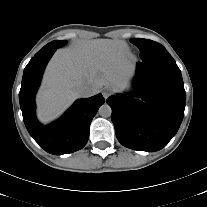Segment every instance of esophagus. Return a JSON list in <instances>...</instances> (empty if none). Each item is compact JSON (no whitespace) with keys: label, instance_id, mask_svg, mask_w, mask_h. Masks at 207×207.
<instances>
[{"label":"esophagus","instance_id":"34e87169","mask_svg":"<svg viewBox=\"0 0 207 207\" xmlns=\"http://www.w3.org/2000/svg\"><path fill=\"white\" fill-rule=\"evenodd\" d=\"M113 91L110 88H104L102 91V95L105 99H107L110 95H112Z\"/></svg>","mask_w":207,"mask_h":207}]
</instances>
